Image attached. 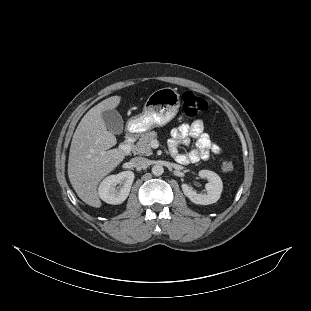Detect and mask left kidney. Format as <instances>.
I'll use <instances>...</instances> for the list:
<instances>
[{"instance_id": "1", "label": "left kidney", "mask_w": 311, "mask_h": 311, "mask_svg": "<svg viewBox=\"0 0 311 311\" xmlns=\"http://www.w3.org/2000/svg\"><path fill=\"white\" fill-rule=\"evenodd\" d=\"M200 177H205L208 180L206 184V194L197 193L188 186H183V191L188 198L196 204H211L219 200L223 191V182L221 178L213 171L202 169L198 172Z\"/></svg>"}]
</instances>
